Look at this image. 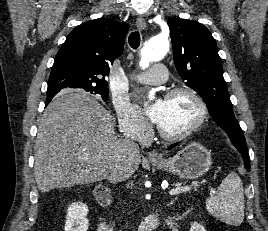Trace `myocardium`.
<instances>
[{
  "label": "myocardium",
  "instance_id": "1",
  "mask_svg": "<svg viewBox=\"0 0 268 231\" xmlns=\"http://www.w3.org/2000/svg\"><path fill=\"white\" fill-rule=\"evenodd\" d=\"M188 95L196 104L197 106V118L196 120L185 130L178 132V133H168L164 131L158 124L156 125V131L160 137L168 141L174 140H182L189 136H191L194 132H196L205 122L208 109L207 105L202 98V96L190 87L180 86L171 89L165 96V99H170L179 95Z\"/></svg>",
  "mask_w": 268,
  "mask_h": 231
}]
</instances>
